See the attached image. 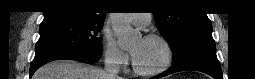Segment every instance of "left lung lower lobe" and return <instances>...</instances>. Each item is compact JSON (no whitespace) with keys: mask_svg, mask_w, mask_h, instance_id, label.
<instances>
[{"mask_svg":"<svg viewBox=\"0 0 255 79\" xmlns=\"http://www.w3.org/2000/svg\"><path fill=\"white\" fill-rule=\"evenodd\" d=\"M184 70H196L206 73L215 79H223L221 67L215 51H206L196 54L179 64L173 65L170 70L159 74L153 79L161 78Z\"/></svg>","mask_w":255,"mask_h":79,"instance_id":"left-lung-lower-lobe-1","label":"left lung lower lobe"}]
</instances>
